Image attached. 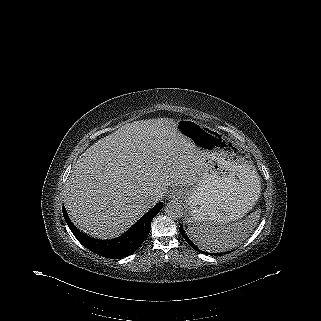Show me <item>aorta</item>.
Listing matches in <instances>:
<instances>
[{"mask_svg":"<svg viewBox=\"0 0 321 321\" xmlns=\"http://www.w3.org/2000/svg\"><path fill=\"white\" fill-rule=\"evenodd\" d=\"M165 213L172 219H179L183 216L184 210L180 203L170 201L165 207Z\"/></svg>","mask_w":321,"mask_h":321,"instance_id":"762f6f07","label":"aorta"}]
</instances>
